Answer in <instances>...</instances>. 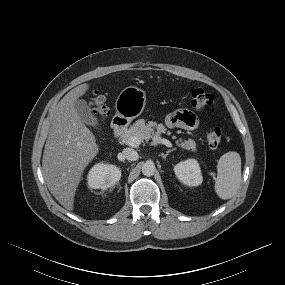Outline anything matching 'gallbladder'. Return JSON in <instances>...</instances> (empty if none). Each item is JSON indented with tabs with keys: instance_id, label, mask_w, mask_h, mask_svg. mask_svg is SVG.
Instances as JSON below:
<instances>
[{
	"instance_id": "gallbladder-1",
	"label": "gallbladder",
	"mask_w": 285,
	"mask_h": 285,
	"mask_svg": "<svg viewBox=\"0 0 285 285\" xmlns=\"http://www.w3.org/2000/svg\"><path fill=\"white\" fill-rule=\"evenodd\" d=\"M74 106L83 123L89 125L90 127L96 130L101 129L99 120L93 114L91 107L87 104L85 100H76Z\"/></svg>"
}]
</instances>
